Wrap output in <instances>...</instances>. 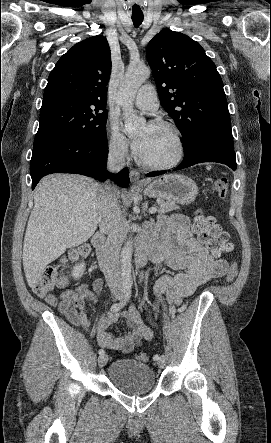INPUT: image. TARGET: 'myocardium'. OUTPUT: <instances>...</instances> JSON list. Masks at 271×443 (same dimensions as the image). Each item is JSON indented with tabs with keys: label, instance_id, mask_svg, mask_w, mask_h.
I'll list each match as a JSON object with an SVG mask.
<instances>
[{
	"label": "myocardium",
	"instance_id": "obj_1",
	"mask_svg": "<svg viewBox=\"0 0 271 443\" xmlns=\"http://www.w3.org/2000/svg\"><path fill=\"white\" fill-rule=\"evenodd\" d=\"M151 125L158 127H166L174 133L177 143V153L173 159L163 163L151 162L143 158L141 155H139L140 163L144 167L152 170H167L180 164L185 156V142L181 130L174 123L166 120H159V119L153 120L151 122Z\"/></svg>",
	"mask_w": 271,
	"mask_h": 443
}]
</instances>
